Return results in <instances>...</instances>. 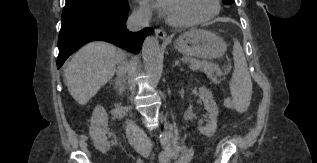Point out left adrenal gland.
Wrapping results in <instances>:
<instances>
[{"mask_svg": "<svg viewBox=\"0 0 317 163\" xmlns=\"http://www.w3.org/2000/svg\"><path fill=\"white\" fill-rule=\"evenodd\" d=\"M177 65H179V60L178 59H176L174 66H177Z\"/></svg>", "mask_w": 317, "mask_h": 163, "instance_id": "obj_1", "label": "left adrenal gland"}]
</instances>
